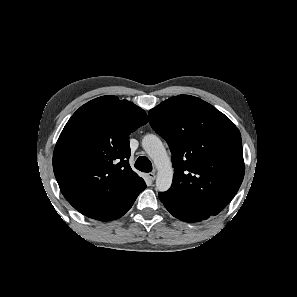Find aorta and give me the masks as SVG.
Returning <instances> with one entry per match:
<instances>
[{
    "instance_id": "1",
    "label": "aorta",
    "mask_w": 297,
    "mask_h": 297,
    "mask_svg": "<svg viewBox=\"0 0 297 297\" xmlns=\"http://www.w3.org/2000/svg\"><path fill=\"white\" fill-rule=\"evenodd\" d=\"M142 147L157 168L158 191H167L172 184L173 168L162 141L154 134H147L142 139Z\"/></svg>"
}]
</instances>
